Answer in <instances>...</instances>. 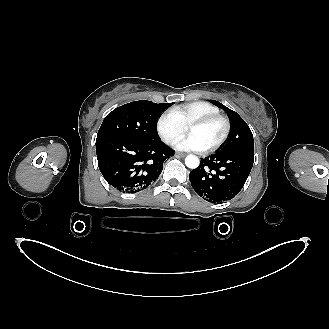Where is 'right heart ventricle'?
I'll use <instances>...</instances> for the list:
<instances>
[{
    "label": "right heart ventricle",
    "mask_w": 329,
    "mask_h": 329,
    "mask_svg": "<svg viewBox=\"0 0 329 329\" xmlns=\"http://www.w3.org/2000/svg\"><path fill=\"white\" fill-rule=\"evenodd\" d=\"M180 122L187 126L191 121L210 114H218L219 108L206 101H193L171 109Z\"/></svg>",
    "instance_id": "right-heart-ventricle-1"
}]
</instances>
